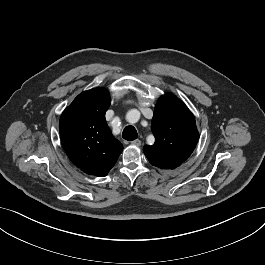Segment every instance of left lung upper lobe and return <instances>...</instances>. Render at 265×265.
<instances>
[{"instance_id": "5c2ea615", "label": "left lung upper lobe", "mask_w": 265, "mask_h": 265, "mask_svg": "<svg viewBox=\"0 0 265 265\" xmlns=\"http://www.w3.org/2000/svg\"><path fill=\"white\" fill-rule=\"evenodd\" d=\"M151 129L155 143L145 145L143 151L149 162L161 169L178 167L191 155L199 138L193 114L171 94L159 98Z\"/></svg>"}]
</instances>
